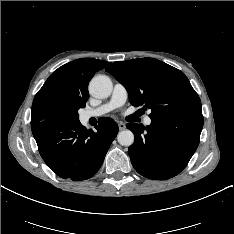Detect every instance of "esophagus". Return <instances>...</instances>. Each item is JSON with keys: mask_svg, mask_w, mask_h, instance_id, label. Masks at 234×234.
Instances as JSON below:
<instances>
[{"mask_svg": "<svg viewBox=\"0 0 234 234\" xmlns=\"http://www.w3.org/2000/svg\"><path fill=\"white\" fill-rule=\"evenodd\" d=\"M119 130H124L126 128V125L122 122L118 123Z\"/></svg>", "mask_w": 234, "mask_h": 234, "instance_id": "obj_1", "label": "esophagus"}]
</instances>
